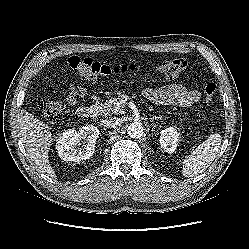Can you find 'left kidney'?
Instances as JSON below:
<instances>
[{
    "label": "left kidney",
    "mask_w": 249,
    "mask_h": 249,
    "mask_svg": "<svg viewBox=\"0 0 249 249\" xmlns=\"http://www.w3.org/2000/svg\"><path fill=\"white\" fill-rule=\"evenodd\" d=\"M179 141V133L174 127H168L161 131L160 145L169 154L176 150Z\"/></svg>",
    "instance_id": "obj_1"
}]
</instances>
